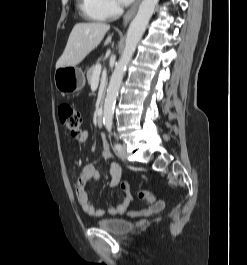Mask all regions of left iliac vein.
Here are the masks:
<instances>
[{"label": "left iliac vein", "instance_id": "1", "mask_svg": "<svg viewBox=\"0 0 247 265\" xmlns=\"http://www.w3.org/2000/svg\"><path fill=\"white\" fill-rule=\"evenodd\" d=\"M118 155L122 159H126L127 158L126 146L124 144L118 150Z\"/></svg>", "mask_w": 247, "mask_h": 265}]
</instances>
